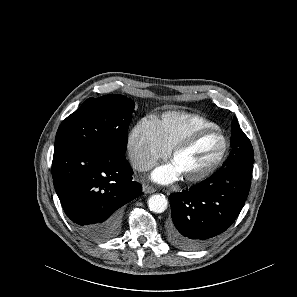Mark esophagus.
<instances>
[{"label":"esophagus","instance_id":"obj_1","mask_svg":"<svg viewBox=\"0 0 297 297\" xmlns=\"http://www.w3.org/2000/svg\"><path fill=\"white\" fill-rule=\"evenodd\" d=\"M156 190L152 187V186H149V185H144L143 186V192L144 193H154Z\"/></svg>","mask_w":297,"mask_h":297}]
</instances>
